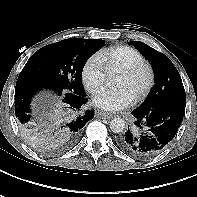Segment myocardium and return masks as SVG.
I'll return each instance as SVG.
<instances>
[{"mask_svg": "<svg viewBox=\"0 0 197 197\" xmlns=\"http://www.w3.org/2000/svg\"><path fill=\"white\" fill-rule=\"evenodd\" d=\"M142 72L146 73L147 80L142 90L134 97L136 102L141 101L147 97L154 86L155 73L153 67L149 63L143 61L120 71V74L128 78H134Z\"/></svg>", "mask_w": 197, "mask_h": 197, "instance_id": "obj_1", "label": "myocardium"}]
</instances>
